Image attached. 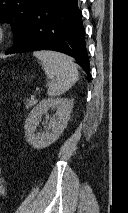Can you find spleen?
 <instances>
[{
  "label": "spleen",
  "mask_w": 128,
  "mask_h": 213,
  "mask_svg": "<svg viewBox=\"0 0 128 213\" xmlns=\"http://www.w3.org/2000/svg\"><path fill=\"white\" fill-rule=\"evenodd\" d=\"M33 55L42 62L51 80L47 91L50 97L63 94L77 82L79 73L71 57L53 51H35Z\"/></svg>",
  "instance_id": "1"
}]
</instances>
